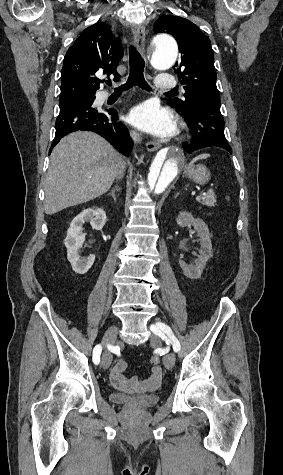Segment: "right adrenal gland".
<instances>
[{
  "instance_id": "obj_1",
  "label": "right adrenal gland",
  "mask_w": 283,
  "mask_h": 475,
  "mask_svg": "<svg viewBox=\"0 0 283 475\" xmlns=\"http://www.w3.org/2000/svg\"><path fill=\"white\" fill-rule=\"evenodd\" d=\"M116 192H121V188H119V186H114V188H112L110 194H107V196H112L114 202H116Z\"/></svg>"
}]
</instances>
